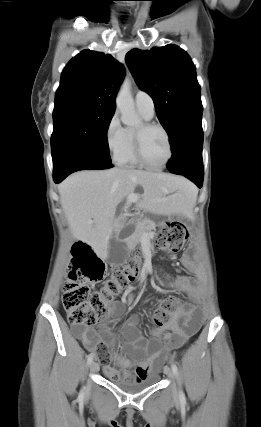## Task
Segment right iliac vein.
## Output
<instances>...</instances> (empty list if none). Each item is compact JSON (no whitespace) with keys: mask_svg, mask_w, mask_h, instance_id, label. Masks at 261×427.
Instances as JSON below:
<instances>
[{"mask_svg":"<svg viewBox=\"0 0 261 427\" xmlns=\"http://www.w3.org/2000/svg\"><path fill=\"white\" fill-rule=\"evenodd\" d=\"M91 372L95 373L99 371V365L96 362H92L90 365Z\"/></svg>","mask_w":261,"mask_h":427,"instance_id":"obj_1","label":"right iliac vein"}]
</instances>
